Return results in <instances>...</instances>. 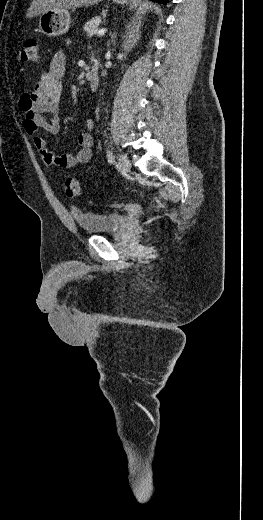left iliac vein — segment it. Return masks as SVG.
Returning a JSON list of instances; mask_svg holds the SVG:
<instances>
[{"label": "left iliac vein", "instance_id": "obj_1", "mask_svg": "<svg viewBox=\"0 0 263 520\" xmlns=\"http://www.w3.org/2000/svg\"><path fill=\"white\" fill-rule=\"evenodd\" d=\"M118 165L124 173H128L131 168L130 160L125 155L118 156Z\"/></svg>", "mask_w": 263, "mask_h": 520}]
</instances>
